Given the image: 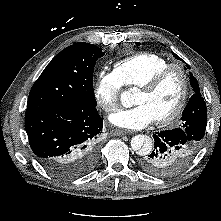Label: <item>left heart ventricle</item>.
<instances>
[{
	"mask_svg": "<svg viewBox=\"0 0 221 221\" xmlns=\"http://www.w3.org/2000/svg\"><path fill=\"white\" fill-rule=\"evenodd\" d=\"M182 80L178 71H171L159 87L150 93L138 90L134 95L135 105H145L155 119L170 113L180 98Z\"/></svg>",
	"mask_w": 221,
	"mask_h": 221,
	"instance_id": "b2bd125f",
	"label": "left heart ventricle"
}]
</instances>
